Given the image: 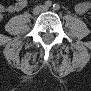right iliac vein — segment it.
Listing matches in <instances>:
<instances>
[{"label": "right iliac vein", "mask_w": 91, "mask_h": 91, "mask_svg": "<svg viewBox=\"0 0 91 91\" xmlns=\"http://www.w3.org/2000/svg\"><path fill=\"white\" fill-rule=\"evenodd\" d=\"M43 10V7L42 6H37L33 9V14L34 15H38L41 13V11Z\"/></svg>", "instance_id": "63e3f726"}]
</instances>
